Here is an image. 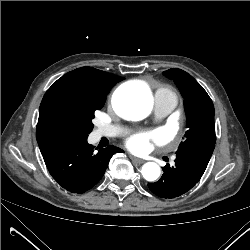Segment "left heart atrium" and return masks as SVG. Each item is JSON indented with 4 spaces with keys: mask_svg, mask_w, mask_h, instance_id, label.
<instances>
[{
    "mask_svg": "<svg viewBox=\"0 0 250 250\" xmlns=\"http://www.w3.org/2000/svg\"><path fill=\"white\" fill-rule=\"evenodd\" d=\"M163 140L161 131L140 133L127 140L128 148L135 153H144L149 150L151 143H161Z\"/></svg>",
    "mask_w": 250,
    "mask_h": 250,
    "instance_id": "39dd6f15",
    "label": "left heart atrium"
}]
</instances>
